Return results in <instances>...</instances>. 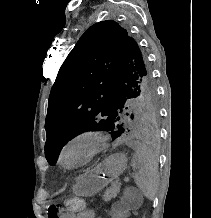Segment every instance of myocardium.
I'll return each instance as SVG.
<instances>
[{
	"instance_id": "myocardium-1",
	"label": "myocardium",
	"mask_w": 211,
	"mask_h": 218,
	"mask_svg": "<svg viewBox=\"0 0 211 218\" xmlns=\"http://www.w3.org/2000/svg\"><path fill=\"white\" fill-rule=\"evenodd\" d=\"M107 136L99 128H86L72 135L62 146L59 153V162L64 166L83 165L90 162L106 145ZM76 146H85L88 152L81 160L71 162L69 153Z\"/></svg>"
}]
</instances>
